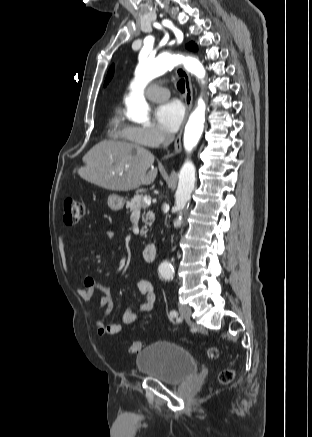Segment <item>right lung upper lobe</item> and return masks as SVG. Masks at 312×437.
Wrapping results in <instances>:
<instances>
[{
    "label": "right lung upper lobe",
    "mask_w": 312,
    "mask_h": 437,
    "mask_svg": "<svg viewBox=\"0 0 312 437\" xmlns=\"http://www.w3.org/2000/svg\"><path fill=\"white\" fill-rule=\"evenodd\" d=\"M113 73H114V66H111L109 71H108L107 77H106L105 85L111 79V77L113 76Z\"/></svg>",
    "instance_id": "right-lung-upper-lobe-1"
}]
</instances>
